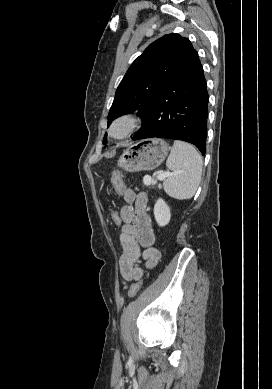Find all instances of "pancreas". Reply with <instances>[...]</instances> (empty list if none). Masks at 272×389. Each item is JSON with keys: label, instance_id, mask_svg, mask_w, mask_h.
Returning a JSON list of instances; mask_svg holds the SVG:
<instances>
[{"label": "pancreas", "instance_id": "cf45deb5", "mask_svg": "<svg viewBox=\"0 0 272 389\" xmlns=\"http://www.w3.org/2000/svg\"><path fill=\"white\" fill-rule=\"evenodd\" d=\"M148 177H150V176H148ZM151 180H152V181H151L150 184H149V183H145L144 180H143V182H144L145 185L149 186V185H151V184H154V180H153L152 178H151Z\"/></svg>", "mask_w": 272, "mask_h": 389}]
</instances>
